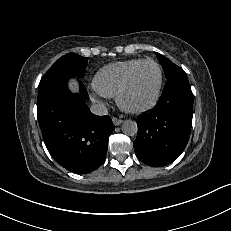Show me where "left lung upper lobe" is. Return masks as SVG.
I'll return each mask as SVG.
<instances>
[{
	"label": "left lung upper lobe",
	"mask_w": 231,
	"mask_h": 231,
	"mask_svg": "<svg viewBox=\"0 0 231 231\" xmlns=\"http://www.w3.org/2000/svg\"><path fill=\"white\" fill-rule=\"evenodd\" d=\"M155 54H156L158 60L160 61L161 65L164 69L166 78H169L172 74L177 73V72L182 70L180 67L175 65L173 62H171L165 56H163L157 52H155Z\"/></svg>",
	"instance_id": "obj_1"
}]
</instances>
